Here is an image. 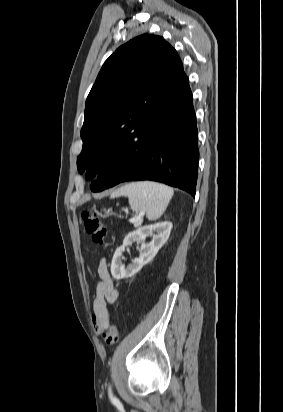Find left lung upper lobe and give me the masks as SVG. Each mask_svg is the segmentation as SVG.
<instances>
[{"mask_svg":"<svg viewBox=\"0 0 283 412\" xmlns=\"http://www.w3.org/2000/svg\"><path fill=\"white\" fill-rule=\"evenodd\" d=\"M186 79L176 50L162 37L144 34L119 47L86 100L78 171L91 180L113 152L140 147Z\"/></svg>","mask_w":283,"mask_h":412,"instance_id":"1","label":"left lung upper lobe"}]
</instances>
